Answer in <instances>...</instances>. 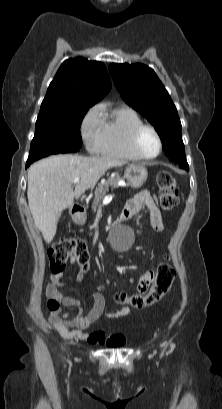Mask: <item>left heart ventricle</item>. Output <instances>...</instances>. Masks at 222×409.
Returning a JSON list of instances; mask_svg holds the SVG:
<instances>
[{
  "label": "left heart ventricle",
  "mask_w": 222,
  "mask_h": 409,
  "mask_svg": "<svg viewBox=\"0 0 222 409\" xmlns=\"http://www.w3.org/2000/svg\"><path fill=\"white\" fill-rule=\"evenodd\" d=\"M141 151L148 156L155 155L158 151V141L153 132L147 130L142 133L139 139Z\"/></svg>",
  "instance_id": "left-heart-ventricle-1"
}]
</instances>
